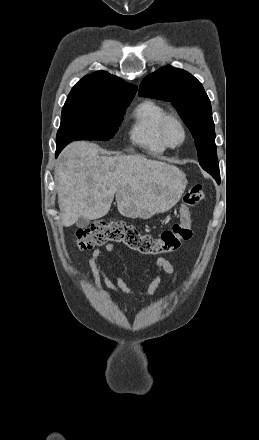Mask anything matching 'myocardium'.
<instances>
[{"label":"myocardium","instance_id":"obj_1","mask_svg":"<svg viewBox=\"0 0 259 440\" xmlns=\"http://www.w3.org/2000/svg\"><path fill=\"white\" fill-rule=\"evenodd\" d=\"M171 122H175L182 130V134H183L182 140L177 144L170 143L167 138V127ZM187 136H188L187 127L179 115L175 113H168L164 116V118L162 119L159 125V137L161 142L164 144L166 148L174 149L182 146L187 140Z\"/></svg>","mask_w":259,"mask_h":440}]
</instances>
